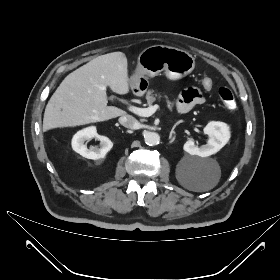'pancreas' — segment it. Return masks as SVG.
Returning <instances> with one entry per match:
<instances>
[{
    "instance_id": "obj_1",
    "label": "pancreas",
    "mask_w": 280,
    "mask_h": 280,
    "mask_svg": "<svg viewBox=\"0 0 280 280\" xmlns=\"http://www.w3.org/2000/svg\"><path fill=\"white\" fill-rule=\"evenodd\" d=\"M157 98L160 99L161 95L157 94V93H154V90H148L147 91L146 100H147V103H148L149 106H151L156 101ZM166 99H167V104L171 105L172 103L168 100L167 96H166Z\"/></svg>"
}]
</instances>
